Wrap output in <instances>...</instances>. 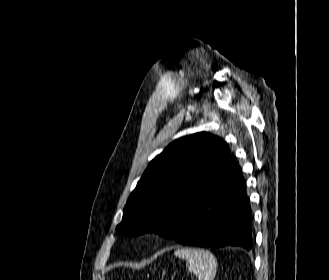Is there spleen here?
<instances>
[{
    "instance_id": "3e777b00",
    "label": "spleen",
    "mask_w": 329,
    "mask_h": 280,
    "mask_svg": "<svg viewBox=\"0 0 329 280\" xmlns=\"http://www.w3.org/2000/svg\"><path fill=\"white\" fill-rule=\"evenodd\" d=\"M174 255L186 261L188 272L198 275V280H213L216 275L217 260L212 253L203 249L183 248Z\"/></svg>"
}]
</instances>
